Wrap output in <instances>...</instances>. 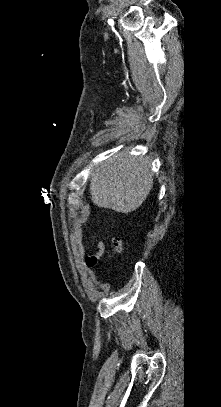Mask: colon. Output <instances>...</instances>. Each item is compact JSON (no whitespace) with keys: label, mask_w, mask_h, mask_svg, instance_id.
<instances>
[{"label":"colon","mask_w":221,"mask_h":407,"mask_svg":"<svg viewBox=\"0 0 221 407\" xmlns=\"http://www.w3.org/2000/svg\"><path fill=\"white\" fill-rule=\"evenodd\" d=\"M115 246H116L118 251H123L122 243L119 240L115 241Z\"/></svg>","instance_id":"1"}]
</instances>
